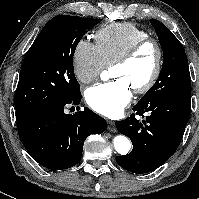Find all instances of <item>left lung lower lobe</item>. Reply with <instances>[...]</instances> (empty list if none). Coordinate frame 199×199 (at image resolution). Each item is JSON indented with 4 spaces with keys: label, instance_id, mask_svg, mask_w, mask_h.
Masks as SVG:
<instances>
[{
    "label": "left lung lower lobe",
    "instance_id": "1",
    "mask_svg": "<svg viewBox=\"0 0 199 199\" xmlns=\"http://www.w3.org/2000/svg\"><path fill=\"white\" fill-rule=\"evenodd\" d=\"M191 97L175 96L150 103L135 105L130 117L116 123L117 130L128 136L132 152L117 156V163L124 169L141 174L150 172L165 163L178 148L190 116ZM142 122L136 115L144 118Z\"/></svg>",
    "mask_w": 199,
    "mask_h": 199
}]
</instances>
